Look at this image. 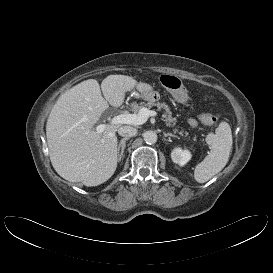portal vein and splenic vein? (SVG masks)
I'll return each mask as SVG.
<instances>
[{
	"label": "portal vein and splenic vein",
	"mask_w": 273,
	"mask_h": 273,
	"mask_svg": "<svg viewBox=\"0 0 273 273\" xmlns=\"http://www.w3.org/2000/svg\"><path fill=\"white\" fill-rule=\"evenodd\" d=\"M157 112L153 110H149L148 108H142L137 114H120L114 116L110 123L111 125L117 124H131V125H142L144 124L149 117L156 116ZM108 124H100L95 128V132L101 133L105 130Z\"/></svg>",
	"instance_id": "portal-vein-and-splenic-vein-1"
}]
</instances>
